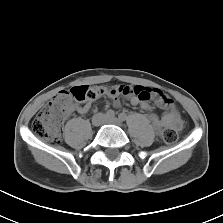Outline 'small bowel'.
Listing matches in <instances>:
<instances>
[{
  "label": "small bowel",
  "instance_id": "small-bowel-1",
  "mask_svg": "<svg viewBox=\"0 0 223 223\" xmlns=\"http://www.w3.org/2000/svg\"><path fill=\"white\" fill-rule=\"evenodd\" d=\"M128 88L129 90L132 89L131 87H128ZM151 91H152V97L155 104L165 109V112L161 116H158L153 113L150 114V120L153 126L157 130H161L162 128L167 127V126H172L176 129H181L183 127V121L176 107L174 106L172 100L167 95L162 94L157 89H152ZM122 94H124L130 100L131 104L139 105L144 110L152 109V105L150 104V102L148 101L142 102L130 92H123ZM110 99L114 107H120L121 102L119 100L117 93L111 94ZM91 106L92 104L88 102L83 106L77 107V111L80 114H85L91 109Z\"/></svg>",
  "mask_w": 223,
  "mask_h": 223
}]
</instances>
